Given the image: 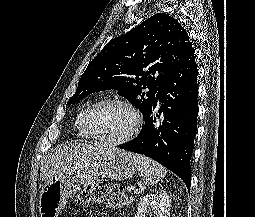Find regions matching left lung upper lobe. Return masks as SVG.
<instances>
[{"label":"left lung upper lobe","instance_id":"5c2ea615","mask_svg":"<svg viewBox=\"0 0 255 217\" xmlns=\"http://www.w3.org/2000/svg\"><path fill=\"white\" fill-rule=\"evenodd\" d=\"M191 49L188 33L176 19L155 14L102 49L87 66L67 104L115 89L145 118L162 81Z\"/></svg>","mask_w":255,"mask_h":217}]
</instances>
